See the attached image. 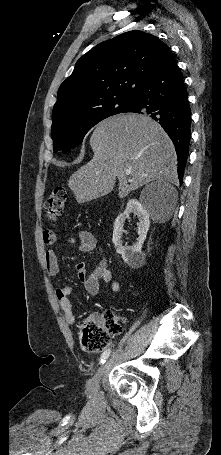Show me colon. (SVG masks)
Here are the masks:
<instances>
[{
	"instance_id": "1",
	"label": "colon",
	"mask_w": 221,
	"mask_h": 455,
	"mask_svg": "<svg viewBox=\"0 0 221 455\" xmlns=\"http://www.w3.org/2000/svg\"><path fill=\"white\" fill-rule=\"evenodd\" d=\"M67 191L63 187L55 188L46 198L43 210L46 218L56 221L63 213ZM122 330L120 319L112 312H106L102 319L87 317L80 322L81 346L87 352L104 350L111 336Z\"/></svg>"
}]
</instances>
